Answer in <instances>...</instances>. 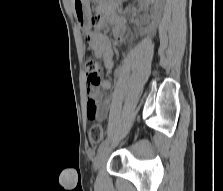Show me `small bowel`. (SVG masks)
Listing matches in <instances>:
<instances>
[{
    "label": "small bowel",
    "instance_id": "c3829d8e",
    "mask_svg": "<svg viewBox=\"0 0 223 191\" xmlns=\"http://www.w3.org/2000/svg\"><path fill=\"white\" fill-rule=\"evenodd\" d=\"M96 12L98 14L105 13V6L98 5ZM114 25L113 35L115 39L124 43L126 41L127 25L123 19L110 20L101 15L94 22L92 30L88 31L86 35L87 42L90 48L94 51L97 58L102 59L106 70L113 67V50L110 38L104 30L110 25ZM119 70L115 71L118 75ZM100 89L107 92L111 89V82L108 79H102L98 85ZM96 85H88L87 87V117L90 120H105L108 117L110 110V98L104 96Z\"/></svg>",
    "mask_w": 223,
    "mask_h": 191
}]
</instances>
